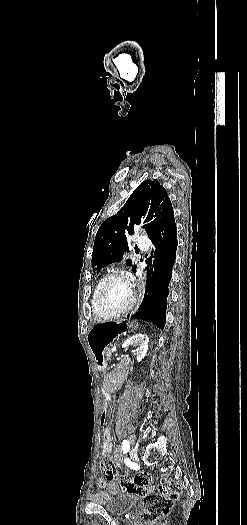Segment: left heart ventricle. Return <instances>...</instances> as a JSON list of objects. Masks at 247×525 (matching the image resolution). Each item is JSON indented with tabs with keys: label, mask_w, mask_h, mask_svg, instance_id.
I'll return each mask as SVG.
<instances>
[{
	"label": "left heart ventricle",
	"mask_w": 247,
	"mask_h": 525,
	"mask_svg": "<svg viewBox=\"0 0 247 525\" xmlns=\"http://www.w3.org/2000/svg\"><path fill=\"white\" fill-rule=\"evenodd\" d=\"M131 291V280L125 277L113 278L101 290L99 295L100 304L104 306L124 304L128 300Z\"/></svg>",
	"instance_id": "1"
}]
</instances>
